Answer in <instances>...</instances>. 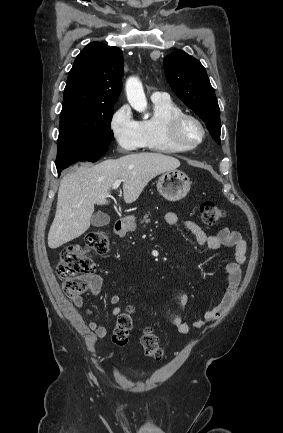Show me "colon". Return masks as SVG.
Segmentation results:
<instances>
[{
  "mask_svg": "<svg viewBox=\"0 0 283 433\" xmlns=\"http://www.w3.org/2000/svg\"><path fill=\"white\" fill-rule=\"evenodd\" d=\"M202 223L207 227L216 225L224 218L225 212L213 201H204L199 207ZM110 249V236L104 230L89 232L84 245H71L64 248L57 265V274L63 280L64 293L70 297H77L88 289L87 279L93 274L95 264L89 253L107 254ZM133 327L132 309L118 315L112 334V341L118 347H124ZM143 351L149 357L159 360L163 357L159 338L151 328L143 330L140 337Z\"/></svg>",
  "mask_w": 283,
  "mask_h": 433,
  "instance_id": "colon-1",
  "label": "colon"
}]
</instances>
